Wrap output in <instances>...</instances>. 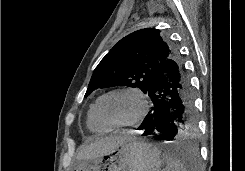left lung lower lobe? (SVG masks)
Returning a JSON list of instances; mask_svg holds the SVG:
<instances>
[{"mask_svg":"<svg viewBox=\"0 0 245 171\" xmlns=\"http://www.w3.org/2000/svg\"><path fill=\"white\" fill-rule=\"evenodd\" d=\"M147 94L153 107L138 128L144 131L143 136L159 132L161 140L172 141L193 127L195 113L190 77L176 53L167 59ZM180 156L183 167H194V162H198L193 149L181 151Z\"/></svg>","mask_w":245,"mask_h":171,"instance_id":"obj_1","label":"left lung lower lobe"}]
</instances>
